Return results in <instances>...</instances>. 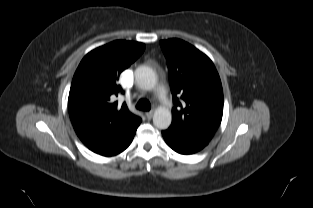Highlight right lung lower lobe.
I'll use <instances>...</instances> for the list:
<instances>
[{"label": "right lung lower lobe", "mask_w": 313, "mask_h": 208, "mask_svg": "<svg viewBox=\"0 0 313 208\" xmlns=\"http://www.w3.org/2000/svg\"><path fill=\"white\" fill-rule=\"evenodd\" d=\"M140 123L138 124V126ZM138 126L131 132L125 133L119 129L102 132H76L80 140L94 153L103 156H114L124 151L132 142Z\"/></svg>", "instance_id": "98d812e1"}]
</instances>
